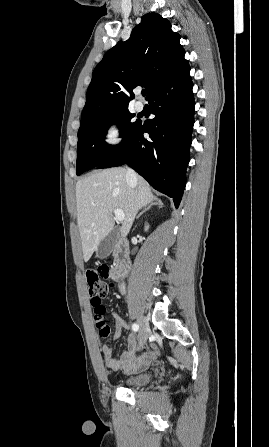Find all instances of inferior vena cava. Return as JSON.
Masks as SVG:
<instances>
[{
	"instance_id": "1",
	"label": "inferior vena cava",
	"mask_w": 269,
	"mask_h": 447,
	"mask_svg": "<svg viewBox=\"0 0 269 447\" xmlns=\"http://www.w3.org/2000/svg\"><path fill=\"white\" fill-rule=\"evenodd\" d=\"M126 180H127V182H137V176H136L134 170H130V168H128L127 174H126ZM119 289H120V291H122V293H125L124 281H122V283H119Z\"/></svg>"
}]
</instances>
